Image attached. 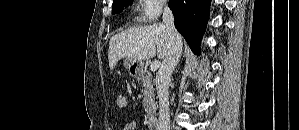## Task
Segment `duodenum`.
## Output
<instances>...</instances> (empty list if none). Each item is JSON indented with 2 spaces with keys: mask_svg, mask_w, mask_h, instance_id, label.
<instances>
[{
  "mask_svg": "<svg viewBox=\"0 0 299 130\" xmlns=\"http://www.w3.org/2000/svg\"><path fill=\"white\" fill-rule=\"evenodd\" d=\"M150 130H160V120L156 116H152L148 121Z\"/></svg>",
  "mask_w": 299,
  "mask_h": 130,
  "instance_id": "410a0bca",
  "label": "duodenum"
}]
</instances>
